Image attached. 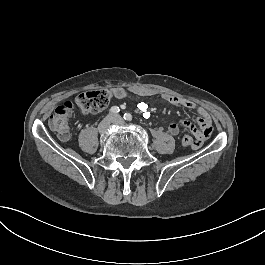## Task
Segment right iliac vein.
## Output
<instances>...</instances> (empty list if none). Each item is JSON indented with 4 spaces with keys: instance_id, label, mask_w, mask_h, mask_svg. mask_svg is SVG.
I'll return each instance as SVG.
<instances>
[{
    "instance_id": "1",
    "label": "right iliac vein",
    "mask_w": 265,
    "mask_h": 265,
    "mask_svg": "<svg viewBox=\"0 0 265 265\" xmlns=\"http://www.w3.org/2000/svg\"><path fill=\"white\" fill-rule=\"evenodd\" d=\"M111 122V118L108 116L106 117L99 125H98V130L99 132H106V130L108 129L109 125Z\"/></svg>"
}]
</instances>
